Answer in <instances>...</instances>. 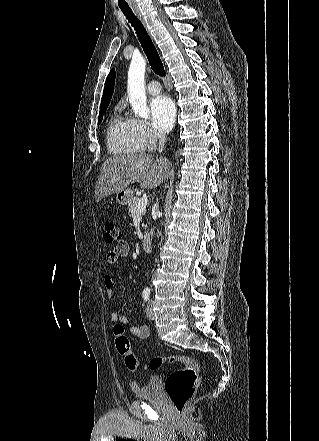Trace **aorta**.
<instances>
[{
    "mask_svg": "<svg viewBox=\"0 0 319 441\" xmlns=\"http://www.w3.org/2000/svg\"><path fill=\"white\" fill-rule=\"evenodd\" d=\"M146 61L143 57H134L128 71V96L135 115L149 118V109L146 104L145 74Z\"/></svg>",
    "mask_w": 319,
    "mask_h": 441,
    "instance_id": "1",
    "label": "aorta"
}]
</instances>
